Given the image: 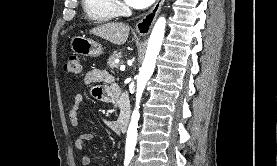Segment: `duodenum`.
I'll return each mask as SVG.
<instances>
[{
  "mask_svg": "<svg viewBox=\"0 0 277 166\" xmlns=\"http://www.w3.org/2000/svg\"><path fill=\"white\" fill-rule=\"evenodd\" d=\"M115 102L119 108V115L117 120L118 130L126 131L130 119V101L128 96L121 91H117Z\"/></svg>",
  "mask_w": 277,
  "mask_h": 166,
  "instance_id": "1",
  "label": "duodenum"
}]
</instances>
